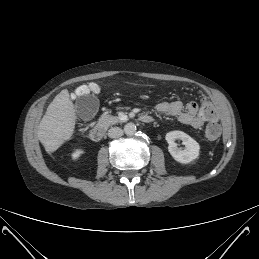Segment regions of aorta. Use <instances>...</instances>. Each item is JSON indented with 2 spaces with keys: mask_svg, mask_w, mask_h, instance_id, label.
<instances>
[{
  "mask_svg": "<svg viewBox=\"0 0 259 259\" xmlns=\"http://www.w3.org/2000/svg\"><path fill=\"white\" fill-rule=\"evenodd\" d=\"M136 125L132 122L130 123H127L125 126H124V132L126 135L128 136H132L136 133Z\"/></svg>",
  "mask_w": 259,
  "mask_h": 259,
  "instance_id": "762f6f07",
  "label": "aorta"
}]
</instances>
